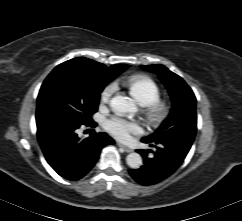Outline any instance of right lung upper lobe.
Here are the masks:
<instances>
[{
    "instance_id": "cb5924a9",
    "label": "right lung upper lobe",
    "mask_w": 242,
    "mask_h": 221,
    "mask_svg": "<svg viewBox=\"0 0 242 221\" xmlns=\"http://www.w3.org/2000/svg\"><path fill=\"white\" fill-rule=\"evenodd\" d=\"M125 64H116L107 68L105 65L87 58H74L68 60L55 69H66L75 73L99 75L105 74L114 79L119 73L125 70Z\"/></svg>"
}]
</instances>
